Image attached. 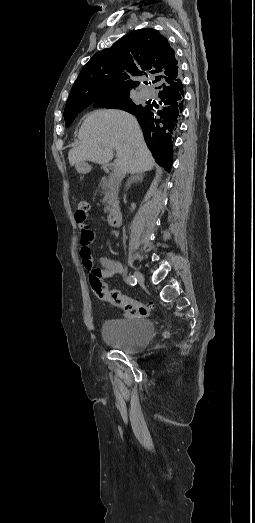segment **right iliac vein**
<instances>
[{
    "label": "right iliac vein",
    "instance_id": "63e3f726",
    "mask_svg": "<svg viewBox=\"0 0 255 523\" xmlns=\"http://www.w3.org/2000/svg\"><path fill=\"white\" fill-rule=\"evenodd\" d=\"M134 276L136 277V279L138 280L139 283H141V284L144 283V276L142 273H140L139 271H136L134 273Z\"/></svg>",
    "mask_w": 255,
    "mask_h": 523
}]
</instances>
